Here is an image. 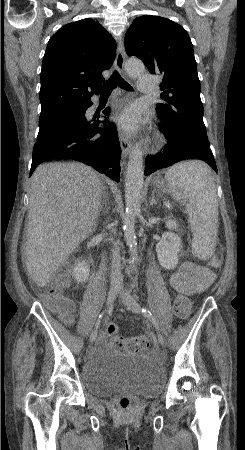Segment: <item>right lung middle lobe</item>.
<instances>
[{
  "label": "right lung middle lobe",
  "mask_w": 245,
  "mask_h": 450,
  "mask_svg": "<svg viewBox=\"0 0 245 450\" xmlns=\"http://www.w3.org/2000/svg\"><path fill=\"white\" fill-rule=\"evenodd\" d=\"M82 107L83 106L62 107L41 111L39 120L40 129L37 137V142L50 136L52 129L58 125L57 123L59 121L71 114L80 112Z\"/></svg>",
  "instance_id": "obj_1"
}]
</instances>
